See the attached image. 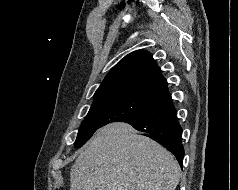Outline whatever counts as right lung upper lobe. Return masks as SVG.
<instances>
[{"label":"right lung upper lobe","mask_w":238,"mask_h":190,"mask_svg":"<svg viewBox=\"0 0 238 190\" xmlns=\"http://www.w3.org/2000/svg\"><path fill=\"white\" fill-rule=\"evenodd\" d=\"M167 81L151 54L134 51L114 66L97 89L94 100L112 96H132L153 104L169 93Z\"/></svg>","instance_id":"1"}]
</instances>
